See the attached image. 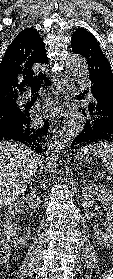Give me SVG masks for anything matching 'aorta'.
Segmentation results:
<instances>
[{
    "mask_svg": "<svg viewBox=\"0 0 113 279\" xmlns=\"http://www.w3.org/2000/svg\"><path fill=\"white\" fill-rule=\"evenodd\" d=\"M66 67L72 77L83 84L89 79V70L85 58L79 55H71L67 59ZM86 118L82 113L74 114L66 125L57 133L52 144L46 151L47 169L55 171L57 168V155L68 146L84 129Z\"/></svg>",
    "mask_w": 113,
    "mask_h": 279,
    "instance_id": "762f6f07",
    "label": "aorta"
}]
</instances>
